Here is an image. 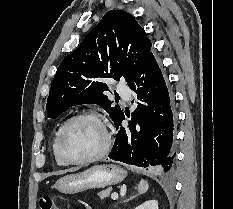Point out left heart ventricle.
<instances>
[{"mask_svg":"<svg viewBox=\"0 0 233 209\" xmlns=\"http://www.w3.org/2000/svg\"><path fill=\"white\" fill-rule=\"evenodd\" d=\"M104 131L93 119H81L67 130L62 148L71 159H80L98 152L104 144Z\"/></svg>","mask_w":233,"mask_h":209,"instance_id":"left-heart-ventricle-1","label":"left heart ventricle"}]
</instances>
